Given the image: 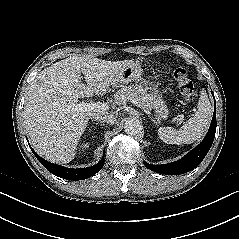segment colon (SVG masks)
Wrapping results in <instances>:
<instances>
[{"mask_svg": "<svg viewBox=\"0 0 239 239\" xmlns=\"http://www.w3.org/2000/svg\"><path fill=\"white\" fill-rule=\"evenodd\" d=\"M173 74L181 95L188 102L195 101L197 92L193 82L188 77L187 71L184 68L178 67L174 69Z\"/></svg>", "mask_w": 239, "mask_h": 239, "instance_id": "1", "label": "colon"}]
</instances>
